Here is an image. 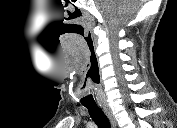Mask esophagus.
<instances>
[{
	"label": "esophagus",
	"instance_id": "34e87169",
	"mask_svg": "<svg viewBox=\"0 0 177 128\" xmlns=\"http://www.w3.org/2000/svg\"><path fill=\"white\" fill-rule=\"evenodd\" d=\"M103 110L104 112L106 113V115L108 116L113 128H116V123H115V119H114V116L110 110V108L107 106V105H104L103 106Z\"/></svg>",
	"mask_w": 177,
	"mask_h": 128
}]
</instances>
